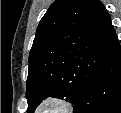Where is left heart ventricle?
I'll use <instances>...</instances> for the list:
<instances>
[{"instance_id": "left-heart-ventricle-1", "label": "left heart ventricle", "mask_w": 121, "mask_h": 113, "mask_svg": "<svg viewBox=\"0 0 121 113\" xmlns=\"http://www.w3.org/2000/svg\"><path fill=\"white\" fill-rule=\"evenodd\" d=\"M60 107L57 105H47L42 108V113H57Z\"/></svg>"}]
</instances>
